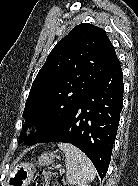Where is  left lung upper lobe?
<instances>
[{
	"label": "left lung upper lobe",
	"instance_id": "obj_1",
	"mask_svg": "<svg viewBox=\"0 0 138 186\" xmlns=\"http://www.w3.org/2000/svg\"><path fill=\"white\" fill-rule=\"evenodd\" d=\"M118 62L103 29L89 23L75 26L52 49L32 83L23 130L37 126L38 131L25 137V144L54 132Z\"/></svg>",
	"mask_w": 138,
	"mask_h": 186
}]
</instances>
